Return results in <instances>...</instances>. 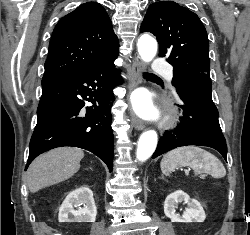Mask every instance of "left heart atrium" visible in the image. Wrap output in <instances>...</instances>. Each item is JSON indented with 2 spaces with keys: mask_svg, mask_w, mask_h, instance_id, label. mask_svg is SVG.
<instances>
[{
  "mask_svg": "<svg viewBox=\"0 0 250 235\" xmlns=\"http://www.w3.org/2000/svg\"><path fill=\"white\" fill-rule=\"evenodd\" d=\"M135 111L141 116H150L153 113L149 100L144 95H137L133 99Z\"/></svg>",
  "mask_w": 250,
  "mask_h": 235,
  "instance_id": "1",
  "label": "left heart atrium"
}]
</instances>
